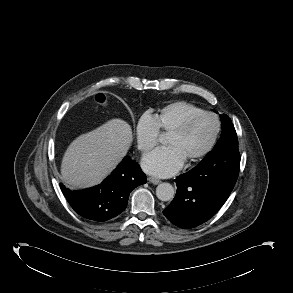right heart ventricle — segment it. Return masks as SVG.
Returning <instances> with one entry per match:
<instances>
[{
  "label": "right heart ventricle",
  "mask_w": 293,
  "mask_h": 293,
  "mask_svg": "<svg viewBox=\"0 0 293 293\" xmlns=\"http://www.w3.org/2000/svg\"><path fill=\"white\" fill-rule=\"evenodd\" d=\"M203 111L199 106L187 101H175L159 108L154 114L158 127L163 132H171L190 116Z\"/></svg>",
  "instance_id": "right-heart-ventricle-1"
}]
</instances>
